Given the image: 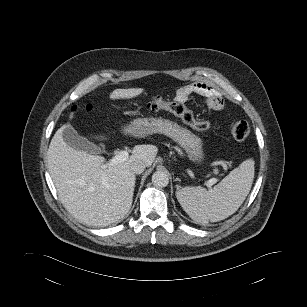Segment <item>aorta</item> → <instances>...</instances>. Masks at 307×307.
<instances>
[{
  "label": "aorta",
  "mask_w": 307,
  "mask_h": 307,
  "mask_svg": "<svg viewBox=\"0 0 307 307\" xmlns=\"http://www.w3.org/2000/svg\"><path fill=\"white\" fill-rule=\"evenodd\" d=\"M152 183L156 187H166L169 183V175L167 172L158 170L152 175Z\"/></svg>",
  "instance_id": "aorta-1"
}]
</instances>
